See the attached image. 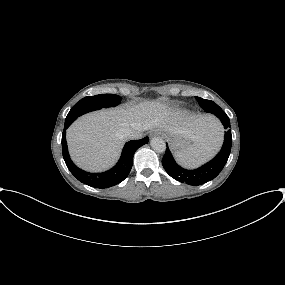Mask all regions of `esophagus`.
I'll list each match as a JSON object with an SVG mask.
<instances>
[{
    "label": "esophagus",
    "instance_id": "esophagus-1",
    "mask_svg": "<svg viewBox=\"0 0 285 285\" xmlns=\"http://www.w3.org/2000/svg\"><path fill=\"white\" fill-rule=\"evenodd\" d=\"M159 133L157 131H153L151 132L150 134V138L154 137V136H157Z\"/></svg>",
    "mask_w": 285,
    "mask_h": 285
}]
</instances>
